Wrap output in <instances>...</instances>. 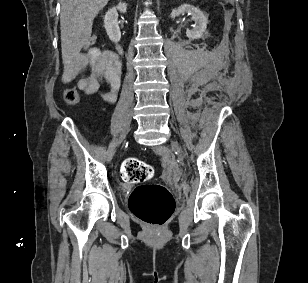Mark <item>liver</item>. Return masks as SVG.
Here are the masks:
<instances>
[{
  "instance_id": "obj_1",
  "label": "liver",
  "mask_w": 308,
  "mask_h": 283,
  "mask_svg": "<svg viewBox=\"0 0 308 283\" xmlns=\"http://www.w3.org/2000/svg\"><path fill=\"white\" fill-rule=\"evenodd\" d=\"M109 0H61L62 59L67 64L88 43L93 20Z\"/></svg>"
}]
</instances>
